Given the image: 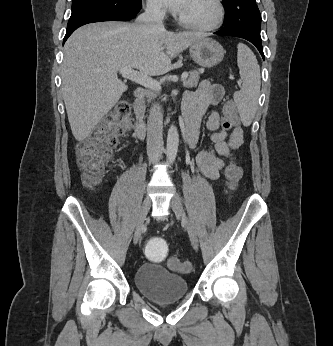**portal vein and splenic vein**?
<instances>
[{
  "label": "portal vein and splenic vein",
  "instance_id": "18ae733b",
  "mask_svg": "<svg viewBox=\"0 0 333 346\" xmlns=\"http://www.w3.org/2000/svg\"><path fill=\"white\" fill-rule=\"evenodd\" d=\"M119 73L124 77L127 78L135 83H138L150 90H154V91H160L161 90V85L159 82L153 80L151 77L144 75L142 73H139L137 71H134L132 68L130 67H125V68H121L119 70ZM188 77L187 73H183L181 75V80L185 81Z\"/></svg>",
  "mask_w": 333,
  "mask_h": 346
}]
</instances>
